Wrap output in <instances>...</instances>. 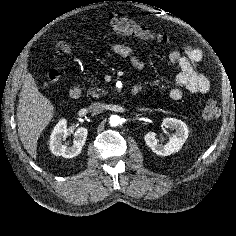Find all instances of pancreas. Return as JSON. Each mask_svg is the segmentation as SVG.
Instances as JSON below:
<instances>
[{"mask_svg": "<svg viewBox=\"0 0 236 236\" xmlns=\"http://www.w3.org/2000/svg\"><path fill=\"white\" fill-rule=\"evenodd\" d=\"M101 83L100 80H98L96 77L91 80V87L87 90V96H92L95 98L102 97L103 95H106L108 93L107 90L98 87V85Z\"/></svg>", "mask_w": 236, "mask_h": 236, "instance_id": "1", "label": "pancreas"}]
</instances>
